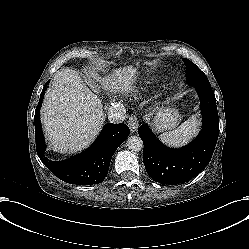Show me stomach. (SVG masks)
<instances>
[{
  "instance_id": "0dacf381",
  "label": "stomach",
  "mask_w": 249,
  "mask_h": 249,
  "mask_svg": "<svg viewBox=\"0 0 249 249\" xmlns=\"http://www.w3.org/2000/svg\"><path fill=\"white\" fill-rule=\"evenodd\" d=\"M181 121V115L174 108H164L156 113L152 125L156 132L175 129Z\"/></svg>"
}]
</instances>
